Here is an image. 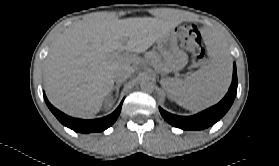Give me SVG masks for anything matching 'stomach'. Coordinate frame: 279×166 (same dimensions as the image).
Returning a JSON list of instances; mask_svg holds the SVG:
<instances>
[{
	"instance_id": "obj_1",
	"label": "stomach",
	"mask_w": 279,
	"mask_h": 166,
	"mask_svg": "<svg viewBox=\"0 0 279 166\" xmlns=\"http://www.w3.org/2000/svg\"><path fill=\"white\" fill-rule=\"evenodd\" d=\"M157 47L164 61L166 71H178L185 67L188 62L187 54L181 50L177 43L174 32H170L157 41Z\"/></svg>"
}]
</instances>
